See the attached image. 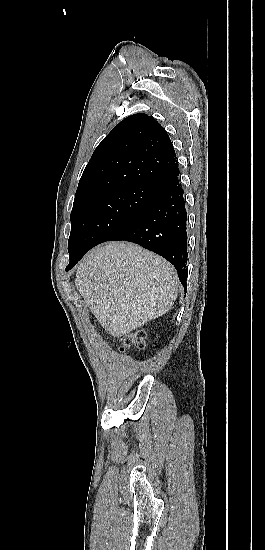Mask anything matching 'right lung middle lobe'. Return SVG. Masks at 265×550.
Instances as JSON below:
<instances>
[{
  "mask_svg": "<svg viewBox=\"0 0 265 550\" xmlns=\"http://www.w3.org/2000/svg\"><path fill=\"white\" fill-rule=\"evenodd\" d=\"M158 185H136L108 191L73 204L68 241L73 267L92 247L129 226L148 206Z\"/></svg>",
  "mask_w": 265,
  "mask_h": 550,
  "instance_id": "right-lung-middle-lobe-1",
  "label": "right lung middle lobe"
}]
</instances>
